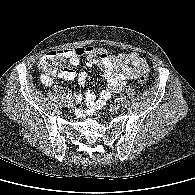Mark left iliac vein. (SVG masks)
Returning <instances> with one entry per match:
<instances>
[{"mask_svg": "<svg viewBox=\"0 0 195 195\" xmlns=\"http://www.w3.org/2000/svg\"><path fill=\"white\" fill-rule=\"evenodd\" d=\"M110 110L114 113H117L120 110V105L115 103L111 105Z\"/></svg>", "mask_w": 195, "mask_h": 195, "instance_id": "1", "label": "left iliac vein"}]
</instances>
